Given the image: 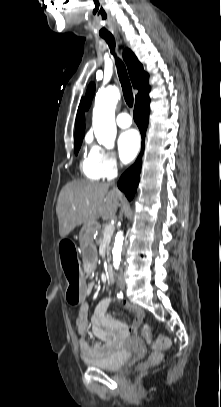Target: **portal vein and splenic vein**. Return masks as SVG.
<instances>
[{
  "mask_svg": "<svg viewBox=\"0 0 221 407\" xmlns=\"http://www.w3.org/2000/svg\"><path fill=\"white\" fill-rule=\"evenodd\" d=\"M114 229H115V228H114V225H112V224L107 225V226L105 227V229H104L103 236H104V237L111 236V234L113 233Z\"/></svg>",
  "mask_w": 221,
  "mask_h": 407,
  "instance_id": "portal-vein-and-splenic-vein-1",
  "label": "portal vein and splenic vein"
}]
</instances>
